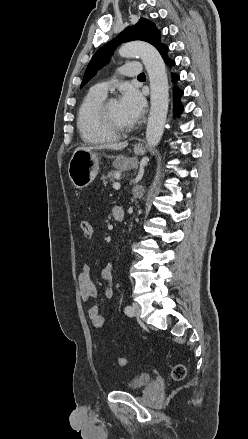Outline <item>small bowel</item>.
Returning a JSON list of instances; mask_svg holds the SVG:
<instances>
[{"instance_id":"small-bowel-1","label":"small bowel","mask_w":248,"mask_h":439,"mask_svg":"<svg viewBox=\"0 0 248 439\" xmlns=\"http://www.w3.org/2000/svg\"><path fill=\"white\" fill-rule=\"evenodd\" d=\"M113 272V264H107L101 271V277L104 281V293L108 299H112L114 292L111 286ZM78 284L81 297L91 306L88 311L89 319L96 328H102L105 326L106 319L100 314L97 305L93 304V300L98 296V290L91 277V268L88 264L82 267L81 272L78 275Z\"/></svg>"}]
</instances>
